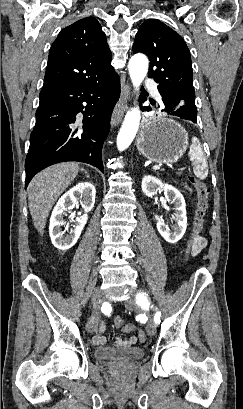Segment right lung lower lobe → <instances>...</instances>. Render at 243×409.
<instances>
[{
	"label": "right lung lower lobe",
	"mask_w": 243,
	"mask_h": 409,
	"mask_svg": "<svg viewBox=\"0 0 243 409\" xmlns=\"http://www.w3.org/2000/svg\"><path fill=\"white\" fill-rule=\"evenodd\" d=\"M119 95L114 70L97 81L41 91L25 161V188L36 173L59 162H84L104 172L102 146Z\"/></svg>",
	"instance_id": "98d812e1"
}]
</instances>
